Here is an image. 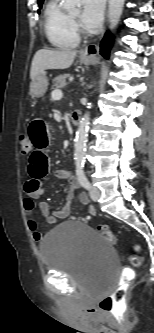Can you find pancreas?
I'll return each instance as SVG.
<instances>
[{
  "instance_id": "1",
  "label": "pancreas",
  "mask_w": 154,
  "mask_h": 333,
  "mask_svg": "<svg viewBox=\"0 0 154 333\" xmlns=\"http://www.w3.org/2000/svg\"><path fill=\"white\" fill-rule=\"evenodd\" d=\"M70 75L65 74V75H59L57 77H55V79L53 80V85L52 87H64L66 85V79L69 78Z\"/></svg>"
}]
</instances>
